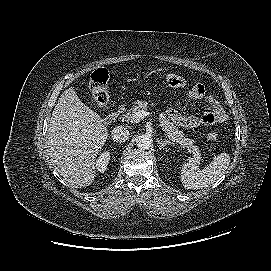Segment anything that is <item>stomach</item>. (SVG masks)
Segmentation results:
<instances>
[{"label": "stomach", "mask_w": 271, "mask_h": 271, "mask_svg": "<svg viewBox=\"0 0 271 271\" xmlns=\"http://www.w3.org/2000/svg\"><path fill=\"white\" fill-rule=\"evenodd\" d=\"M148 76V73H145L144 77Z\"/></svg>", "instance_id": "stomach-1"}]
</instances>
